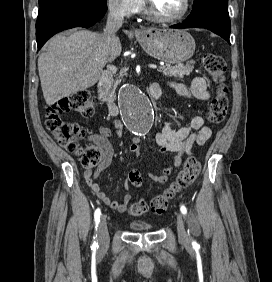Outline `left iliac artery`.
Returning a JSON list of instances; mask_svg holds the SVG:
<instances>
[{
	"mask_svg": "<svg viewBox=\"0 0 272 282\" xmlns=\"http://www.w3.org/2000/svg\"><path fill=\"white\" fill-rule=\"evenodd\" d=\"M180 210H181L183 215L187 214V209H186V207L184 205L181 206ZM193 244H196V242L193 241Z\"/></svg>",
	"mask_w": 272,
	"mask_h": 282,
	"instance_id": "44dca946",
	"label": "left iliac artery"
}]
</instances>
